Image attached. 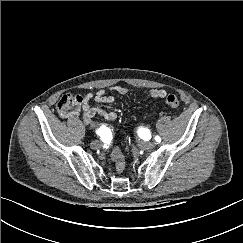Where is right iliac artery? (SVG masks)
Listing matches in <instances>:
<instances>
[{
    "instance_id": "obj_1",
    "label": "right iliac artery",
    "mask_w": 243,
    "mask_h": 243,
    "mask_svg": "<svg viewBox=\"0 0 243 243\" xmlns=\"http://www.w3.org/2000/svg\"><path fill=\"white\" fill-rule=\"evenodd\" d=\"M103 128H104V127L100 128L99 131H98V133L101 134L102 137H103V132H102V129H103Z\"/></svg>"
}]
</instances>
